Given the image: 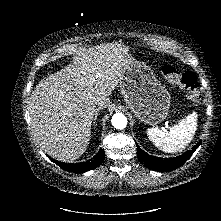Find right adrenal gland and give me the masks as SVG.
Segmentation results:
<instances>
[{
    "instance_id": "obj_1",
    "label": "right adrenal gland",
    "mask_w": 221,
    "mask_h": 221,
    "mask_svg": "<svg viewBox=\"0 0 221 221\" xmlns=\"http://www.w3.org/2000/svg\"><path fill=\"white\" fill-rule=\"evenodd\" d=\"M101 109H103V108H102V107H98V108L96 109V113H95V117H94V121H93V125H94L95 127L97 126L96 120H97L98 112H99Z\"/></svg>"
}]
</instances>
